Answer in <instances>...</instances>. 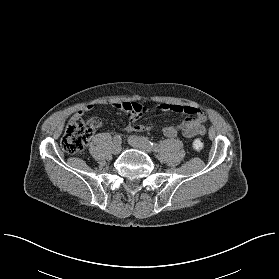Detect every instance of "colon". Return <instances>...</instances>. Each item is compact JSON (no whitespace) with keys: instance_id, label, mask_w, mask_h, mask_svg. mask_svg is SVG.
Returning <instances> with one entry per match:
<instances>
[{"instance_id":"1","label":"colon","mask_w":279,"mask_h":279,"mask_svg":"<svg viewBox=\"0 0 279 279\" xmlns=\"http://www.w3.org/2000/svg\"><path fill=\"white\" fill-rule=\"evenodd\" d=\"M124 109L127 112L139 114L142 111V105L136 102L126 103ZM101 122L102 121L96 117L90 118L86 123L81 120L70 119L62 136V148L70 154L82 152ZM203 146L204 141L201 137H196L192 141V148L195 151L201 150Z\"/></svg>"}]
</instances>
